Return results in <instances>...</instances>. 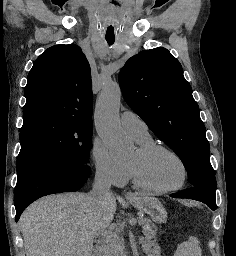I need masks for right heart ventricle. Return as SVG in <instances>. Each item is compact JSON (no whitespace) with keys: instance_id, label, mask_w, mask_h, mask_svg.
Returning a JSON list of instances; mask_svg holds the SVG:
<instances>
[{"instance_id":"1","label":"right heart ventricle","mask_w":236,"mask_h":256,"mask_svg":"<svg viewBox=\"0 0 236 256\" xmlns=\"http://www.w3.org/2000/svg\"><path fill=\"white\" fill-rule=\"evenodd\" d=\"M140 145H145V144H149V143H153L152 139L149 137L142 139L140 141H137ZM131 177V174H130Z\"/></svg>"}]
</instances>
